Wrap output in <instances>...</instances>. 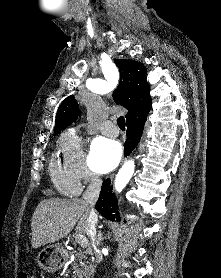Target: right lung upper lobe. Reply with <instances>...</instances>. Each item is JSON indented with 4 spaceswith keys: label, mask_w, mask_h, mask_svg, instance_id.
<instances>
[{
    "label": "right lung upper lobe",
    "mask_w": 221,
    "mask_h": 278,
    "mask_svg": "<svg viewBox=\"0 0 221 278\" xmlns=\"http://www.w3.org/2000/svg\"><path fill=\"white\" fill-rule=\"evenodd\" d=\"M114 62L120 71V82L113 92L115 102L128 109L127 122L146 118L151 109V97L145 67L133 60L115 59ZM78 115L77 101L70 95L58 108L54 134L67 128Z\"/></svg>",
    "instance_id": "cb5924a9"
}]
</instances>
